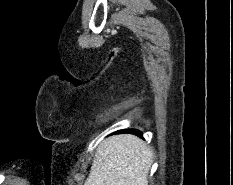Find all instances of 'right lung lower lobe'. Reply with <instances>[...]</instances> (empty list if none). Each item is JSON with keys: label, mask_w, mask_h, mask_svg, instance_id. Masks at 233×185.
I'll use <instances>...</instances> for the list:
<instances>
[{"label": "right lung lower lobe", "mask_w": 233, "mask_h": 185, "mask_svg": "<svg viewBox=\"0 0 233 185\" xmlns=\"http://www.w3.org/2000/svg\"><path fill=\"white\" fill-rule=\"evenodd\" d=\"M122 132L133 133V134L138 135V136L142 135V133L140 131L135 130V129H129V130L122 131Z\"/></svg>", "instance_id": "98d812e1"}]
</instances>
